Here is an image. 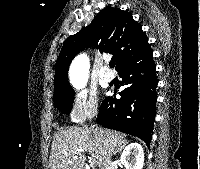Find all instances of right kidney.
<instances>
[{
    "label": "right kidney",
    "instance_id": "right-kidney-1",
    "mask_svg": "<svg viewBox=\"0 0 200 169\" xmlns=\"http://www.w3.org/2000/svg\"><path fill=\"white\" fill-rule=\"evenodd\" d=\"M120 163L126 169H142L144 165V151L139 143H131L123 150Z\"/></svg>",
    "mask_w": 200,
    "mask_h": 169
}]
</instances>
